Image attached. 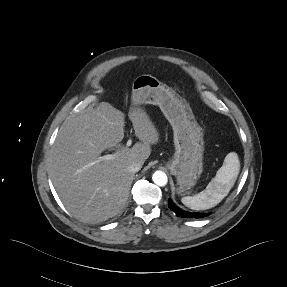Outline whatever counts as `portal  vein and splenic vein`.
<instances>
[{
	"instance_id": "18ae733b",
	"label": "portal vein and splenic vein",
	"mask_w": 287,
	"mask_h": 287,
	"mask_svg": "<svg viewBox=\"0 0 287 287\" xmlns=\"http://www.w3.org/2000/svg\"><path fill=\"white\" fill-rule=\"evenodd\" d=\"M132 144V140L129 139L126 143L127 146H130ZM115 158V154H107V155H104L102 157H99V160L100 161H103V160H112Z\"/></svg>"
}]
</instances>
